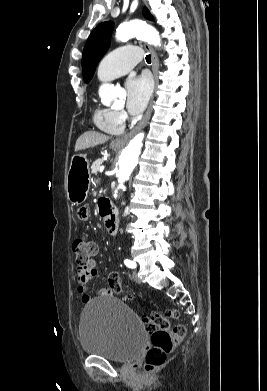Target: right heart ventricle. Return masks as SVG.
Wrapping results in <instances>:
<instances>
[{
    "label": "right heart ventricle",
    "instance_id": "1",
    "mask_svg": "<svg viewBox=\"0 0 267 391\" xmlns=\"http://www.w3.org/2000/svg\"><path fill=\"white\" fill-rule=\"evenodd\" d=\"M94 124L103 132L117 135L123 131V124L116 112L108 107L97 105L93 113Z\"/></svg>",
    "mask_w": 267,
    "mask_h": 391
}]
</instances>
